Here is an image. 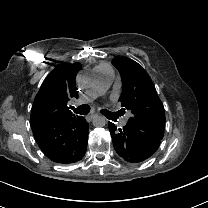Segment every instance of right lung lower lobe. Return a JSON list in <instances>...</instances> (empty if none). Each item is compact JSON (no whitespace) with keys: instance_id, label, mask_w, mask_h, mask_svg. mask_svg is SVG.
Masks as SVG:
<instances>
[{"instance_id":"1","label":"right lung lower lobe","mask_w":208,"mask_h":208,"mask_svg":"<svg viewBox=\"0 0 208 208\" xmlns=\"http://www.w3.org/2000/svg\"><path fill=\"white\" fill-rule=\"evenodd\" d=\"M31 128L38 146L50 160L70 164L84 157L89 130L84 117L31 122Z\"/></svg>"}]
</instances>
